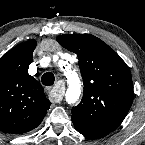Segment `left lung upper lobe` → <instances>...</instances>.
Segmentation results:
<instances>
[{
	"mask_svg": "<svg viewBox=\"0 0 145 145\" xmlns=\"http://www.w3.org/2000/svg\"><path fill=\"white\" fill-rule=\"evenodd\" d=\"M57 41L77 54L84 82L81 102L72 108V121L108 134L124 120L133 100L130 70L121 57L90 34H64Z\"/></svg>",
	"mask_w": 145,
	"mask_h": 145,
	"instance_id": "left-lung-upper-lobe-1",
	"label": "left lung upper lobe"
}]
</instances>
